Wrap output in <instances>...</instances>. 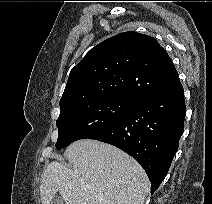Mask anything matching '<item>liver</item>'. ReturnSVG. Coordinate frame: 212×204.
<instances>
[{"label": "liver", "mask_w": 212, "mask_h": 204, "mask_svg": "<svg viewBox=\"0 0 212 204\" xmlns=\"http://www.w3.org/2000/svg\"><path fill=\"white\" fill-rule=\"evenodd\" d=\"M64 157L71 168L53 161L42 173V204H50L57 192L65 204H144L147 174L119 148L81 139L67 147Z\"/></svg>", "instance_id": "liver-1"}]
</instances>
